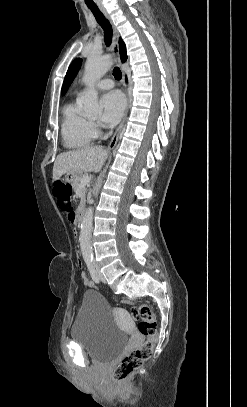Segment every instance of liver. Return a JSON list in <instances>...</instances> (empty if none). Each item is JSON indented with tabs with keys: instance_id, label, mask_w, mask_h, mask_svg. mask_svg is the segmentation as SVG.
I'll return each instance as SVG.
<instances>
[{
	"instance_id": "obj_1",
	"label": "liver",
	"mask_w": 247,
	"mask_h": 407,
	"mask_svg": "<svg viewBox=\"0 0 247 407\" xmlns=\"http://www.w3.org/2000/svg\"><path fill=\"white\" fill-rule=\"evenodd\" d=\"M107 156V151L100 146H87L61 153L54 162L53 181L66 173L80 175L83 172H99Z\"/></svg>"
}]
</instances>
